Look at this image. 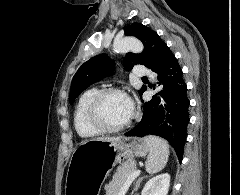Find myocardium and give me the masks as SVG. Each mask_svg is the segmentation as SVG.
<instances>
[{"mask_svg": "<svg viewBox=\"0 0 240 195\" xmlns=\"http://www.w3.org/2000/svg\"><path fill=\"white\" fill-rule=\"evenodd\" d=\"M110 96H125L127 94L115 88H108L99 91L91 100L88 106V120L92 126L101 131L102 133H119L129 129L133 125V116L130 120L119 126H113L109 124L103 114V106L106 99Z\"/></svg>", "mask_w": 240, "mask_h": 195, "instance_id": "1", "label": "myocardium"}]
</instances>
